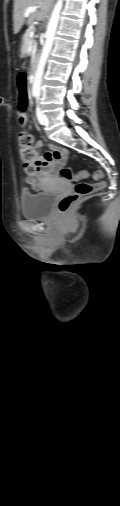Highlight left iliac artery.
I'll list each match as a JSON object with an SVG mask.
<instances>
[{
    "instance_id": "left-iliac-artery-1",
    "label": "left iliac artery",
    "mask_w": 120,
    "mask_h": 506,
    "mask_svg": "<svg viewBox=\"0 0 120 506\" xmlns=\"http://www.w3.org/2000/svg\"><path fill=\"white\" fill-rule=\"evenodd\" d=\"M36 99H37V102H38V100H39V95H37Z\"/></svg>"
}]
</instances>
